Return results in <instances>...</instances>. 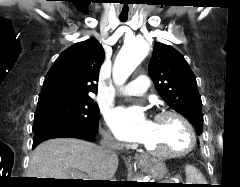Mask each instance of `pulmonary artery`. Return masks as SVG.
I'll use <instances>...</instances> for the list:
<instances>
[{
    "label": "pulmonary artery",
    "mask_w": 240,
    "mask_h": 187,
    "mask_svg": "<svg viewBox=\"0 0 240 187\" xmlns=\"http://www.w3.org/2000/svg\"><path fill=\"white\" fill-rule=\"evenodd\" d=\"M149 87V78L147 75H139L133 81L122 88L120 94L123 96H142L146 94Z\"/></svg>",
    "instance_id": "1"
}]
</instances>
